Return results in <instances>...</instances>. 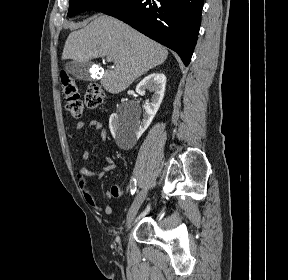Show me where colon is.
<instances>
[{
	"instance_id": "1",
	"label": "colon",
	"mask_w": 288,
	"mask_h": 280,
	"mask_svg": "<svg viewBox=\"0 0 288 280\" xmlns=\"http://www.w3.org/2000/svg\"><path fill=\"white\" fill-rule=\"evenodd\" d=\"M61 82L66 100V108L75 118H80L82 116L84 105L88 109L94 110L98 108L104 101V91L98 84L93 83L88 86L84 94L83 102L81 100L76 81L71 76L66 73H62Z\"/></svg>"
}]
</instances>
